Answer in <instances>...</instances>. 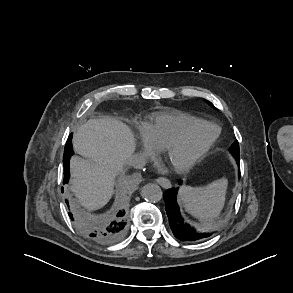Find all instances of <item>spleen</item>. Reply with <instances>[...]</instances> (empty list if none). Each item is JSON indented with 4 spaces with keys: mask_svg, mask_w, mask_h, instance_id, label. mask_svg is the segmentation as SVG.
<instances>
[{
    "mask_svg": "<svg viewBox=\"0 0 293 293\" xmlns=\"http://www.w3.org/2000/svg\"><path fill=\"white\" fill-rule=\"evenodd\" d=\"M228 180L218 179L203 187L183 186L179 196L185 209L193 216L212 221L223 209Z\"/></svg>",
    "mask_w": 293,
    "mask_h": 293,
    "instance_id": "obj_1",
    "label": "spleen"
}]
</instances>
